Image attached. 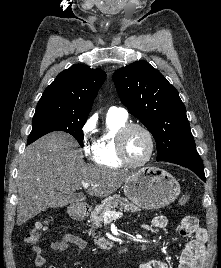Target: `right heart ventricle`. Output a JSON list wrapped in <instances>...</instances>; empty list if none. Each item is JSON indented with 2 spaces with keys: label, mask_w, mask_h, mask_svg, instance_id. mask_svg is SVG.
<instances>
[{
  "label": "right heart ventricle",
  "mask_w": 221,
  "mask_h": 268,
  "mask_svg": "<svg viewBox=\"0 0 221 268\" xmlns=\"http://www.w3.org/2000/svg\"><path fill=\"white\" fill-rule=\"evenodd\" d=\"M125 124L126 119L107 115L106 130L96 142L93 156L95 163L108 168H121L124 166L117 156L116 135L118 130Z\"/></svg>",
  "instance_id": "obj_1"
}]
</instances>
